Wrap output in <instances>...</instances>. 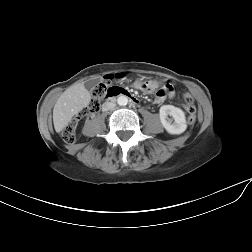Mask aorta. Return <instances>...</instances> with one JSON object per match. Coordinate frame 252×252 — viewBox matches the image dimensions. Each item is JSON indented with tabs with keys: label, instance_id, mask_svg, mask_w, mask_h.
Returning <instances> with one entry per match:
<instances>
[{
	"label": "aorta",
	"instance_id": "1",
	"mask_svg": "<svg viewBox=\"0 0 252 252\" xmlns=\"http://www.w3.org/2000/svg\"><path fill=\"white\" fill-rule=\"evenodd\" d=\"M117 103L120 105V106H125L127 105L128 103V98L124 95H121L117 98Z\"/></svg>",
	"mask_w": 252,
	"mask_h": 252
}]
</instances>
